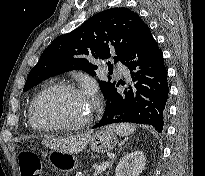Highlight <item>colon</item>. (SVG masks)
I'll list each match as a JSON object with an SVG mask.
<instances>
[{
    "label": "colon",
    "mask_w": 205,
    "mask_h": 176,
    "mask_svg": "<svg viewBox=\"0 0 205 176\" xmlns=\"http://www.w3.org/2000/svg\"><path fill=\"white\" fill-rule=\"evenodd\" d=\"M17 162L21 176H43V163L35 153L22 151Z\"/></svg>",
    "instance_id": "1"
}]
</instances>
